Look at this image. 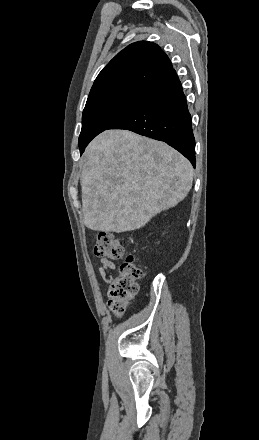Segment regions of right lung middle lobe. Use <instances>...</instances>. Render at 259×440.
Wrapping results in <instances>:
<instances>
[{
	"instance_id": "obj_1",
	"label": "right lung middle lobe",
	"mask_w": 259,
	"mask_h": 440,
	"mask_svg": "<svg viewBox=\"0 0 259 440\" xmlns=\"http://www.w3.org/2000/svg\"><path fill=\"white\" fill-rule=\"evenodd\" d=\"M147 93L127 89L107 93L86 102L82 116L79 148L82 154L87 144L99 133L127 114Z\"/></svg>"
}]
</instances>
